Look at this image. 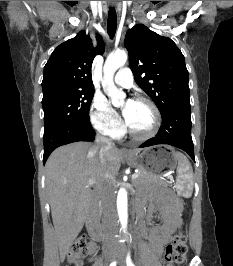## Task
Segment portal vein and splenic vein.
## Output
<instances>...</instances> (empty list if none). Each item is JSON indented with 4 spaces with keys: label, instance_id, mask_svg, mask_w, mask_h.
<instances>
[{
    "label": "portal vein and splenic vein",
    "instance_id": "18ae733b",
    "mask_svg": "<svg viewBox=\"0 0 233 266\" xmlns=\"http://www.w3.org/2000/svg\"><path fill=\"white\" fill-rule=\"evenodd\" d=\"M138 177V173H134L132 175V179H136ZM95 184V180L94 179H90L87 181V185L91 186V185H94Z\"/></svg>",
    "mask_w": 233,
    "mask_h": 266
}]
</instances>
